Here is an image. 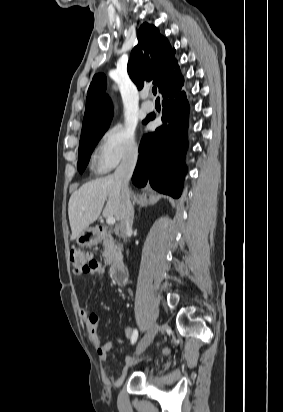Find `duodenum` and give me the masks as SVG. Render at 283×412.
<instances>
[{"instance_id": "obj_1", "label": "duodenum", "mask_w": 283, "mask_h": 412, "mask_svg": "<svg viewBox=\"0 0 283 412\" xmlns=\"http://www.w3.org/2000/svg\"><path fill=\"white\" fill-rule=\"evenodd\" d=\"M103 233H106L105 228H97V234H103ZM111 274L115 282L118 285L124 286L127 284L128 272H127L126 266L122 262L117 261L112 265Z\"/></svg>"}]
</instances>
